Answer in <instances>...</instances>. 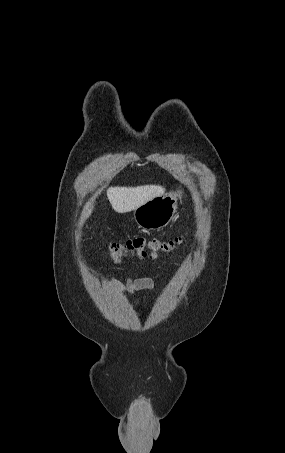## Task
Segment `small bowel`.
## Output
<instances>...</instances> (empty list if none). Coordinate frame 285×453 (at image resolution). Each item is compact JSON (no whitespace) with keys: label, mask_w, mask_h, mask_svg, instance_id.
<instances>
[{"label":"small bowel","mask_w":285,"mask_h":453,"mask_svg":"<svg viewBox=\"0 0 285 453\" xmlns=\"http://www.w3.org/2000/svg\"><path fill=\"white\" fill-rule=\"evenodd\" d=\"M155 287V281L151 278L143 277L133 279L131 277H128L124 285L119 288V291L125 295H130L138 290H154ZM143 302L146 303L147 299L143 298Z\"/></svg>","instance_id":"1"}]
</instances>
